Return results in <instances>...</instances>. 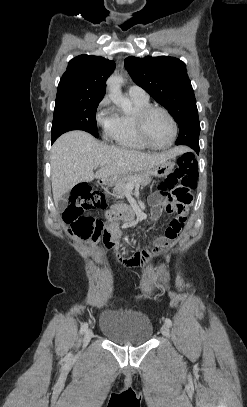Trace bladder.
Here are the masks:
<instances>
[{
	"mask_svg": "<svg viewBox=\"0 0 247 407\" xmlns=\"http://www.w3.org/2000/svg\"><path fill=\"white\" fill-rule=\"evenodd\" d=\"M100 330L111 342L140 345L150 341L153 326L150 318L140 311L108 307L100 314Z\"/></svg>",
	"mask_w": 247,
	"mask_h": 407,
	"instance_id": "1",
	"label": "bladder"
}]
</instances>
